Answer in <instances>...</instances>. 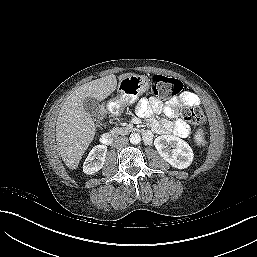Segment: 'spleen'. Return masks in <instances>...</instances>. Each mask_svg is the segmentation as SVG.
I'll list each match as a JSON object with an SVG mask.
<instances>
[{
  "label": "spleen",
  "mask_w": 257,
  "mask_h": 257,
  "mask_svg": "<svg viewBox=\"0 0 257 257\" xmlns=\"http://www.w3.org/2000/svg\"><path fill=\"white\" fill-rule=\"evenodd\" d=\"M195 140L198 144H201L203 142V134L201 131L196 133Z\"/></svg>",
  "instance_id": "spleen-1"
}]
</instances>
